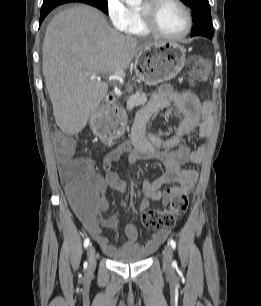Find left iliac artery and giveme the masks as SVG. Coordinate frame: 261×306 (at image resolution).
<instances>
[{
	"instance_id": "1",
	"label": "left iliac artery",
	"mask_w": 261,
	"mask_h": 306,
	"mask_svg": "<svg viewBox=\"0 0 261 306\" xmlns=\"http://www.w3.org/2000/svg\"><path fill=\"white\" fill-rule=\"evenodd\" d=\"M170 245H171V247L173 248V249H175L176 248V242L173 240V239H170Z\"/></svg>"
}]
</instances>
